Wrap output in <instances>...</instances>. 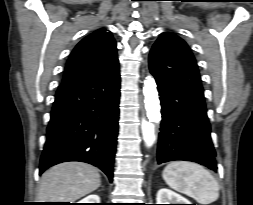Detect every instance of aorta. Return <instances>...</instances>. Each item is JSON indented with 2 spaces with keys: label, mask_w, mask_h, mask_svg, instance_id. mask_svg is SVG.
I'll return each mask as SVG.
<instances>
[{
  "label": "aorta",
  "mask_w": 253,
  "mask_h": 205,
  "mask_svg": "<svg viewBox=\"0 0 253 205\" xmlns=\"http://www.w3.org/2000/svg\"><path fill=\"white\" fill-rule=\"evenodd\" d=\"M144 105L148 120L142 121V135L147 147L154 143V130L152 123H159L161 120L160 101L155 80L152 76H147L143 86Z\"/></svg>",
  "instance_id": "aorta-1"
}]
</instances>
